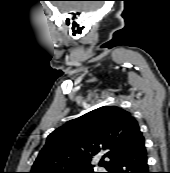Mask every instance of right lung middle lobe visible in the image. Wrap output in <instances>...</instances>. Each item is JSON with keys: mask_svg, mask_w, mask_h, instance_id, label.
Listing matches in <instances>:
<instances>
[{"mask_svg": "<svg viewBox=\"0 0 170 173\" xmlns=\"http://www.w3.org/2000/svg\"><path fill=\"white\" fill-rule=\"evenodd\" d=\"M69 173H95V172L93 171V168H89L83 170L70 171Z\"/></svg>", "mask_w": 170, "mask_h": 173, "instance_id": "1", "label": "right lung middle lobe"}]
</instances>
